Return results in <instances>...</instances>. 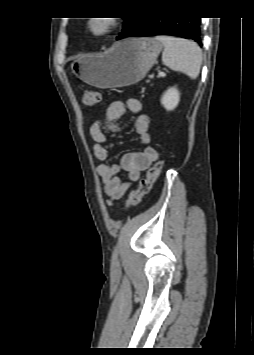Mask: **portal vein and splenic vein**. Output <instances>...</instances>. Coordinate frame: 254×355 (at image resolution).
<instances>
[{"label": "portal vein and splenic vein", "instance_id": "1", "mask_svg": "<svg viewBox=\"0 0 254 355\" xmlns=\"http://www.w3.org/2000/svg\"><path fill=\"white\" fill-rule=\"evenodd\" d=\"M158 76H159V77H165L166 74H165L164 72H162V71H159V72H158Z\"/></svg>", "mask_w": 254, "mask_h": 355}]
</instances>
